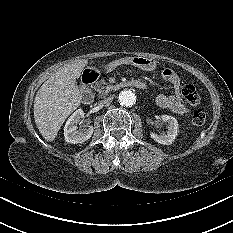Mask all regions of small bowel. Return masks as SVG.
Segmentation results:
<instances>
[{
	"mask_svg": "<svg viewBox=\"0 0 233 233\" xmlns=\"http://www.w3.org/2000/svg\"><path fill=\"white\" fill-rule=\"evenodd\" d=\"M164 80L169 82L173 88L172 95L159 94L156 97V103L160 108L170 110L178 115L189 114V109L182 102L181 80L179 76L171 69H165L162 72Z\"/></svg>",
	"mask_w": 233,
	"mask_h": 233,
	"instance_id": "obj_1",
	"label": "small bowel"
}]
</instances>
